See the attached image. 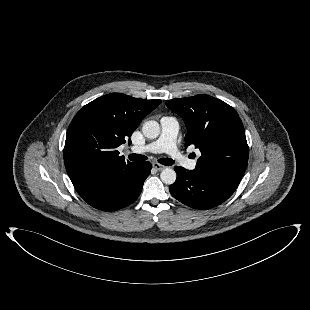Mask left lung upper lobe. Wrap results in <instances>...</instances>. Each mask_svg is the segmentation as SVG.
<instances>
[{"label":"left lung upper lobe","mask_w":310,"mask_h":310,"mask_svg":"<svg viewBox=\"0 0 310 310\" xmlns=\"http://www.w3.org/2000/svg\"><path fill=\"white\" fill-rule=\"evenodd\" d=\"M167 107L180 115L187 127L185 146L199 148L195 170L240 182L248 163L244 127L233 107L208 95L175 98Z\"/></svg>","instance_id":"obj_1"}]
</instances>
